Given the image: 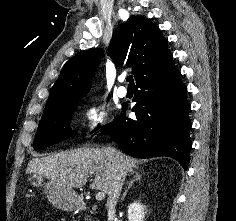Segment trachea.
<instances>
[{
  "mask_svg": "<svg viewBox=\"0 0 236 221\" xmlns=\"http://www.w3.org/2000/svg\"><path fill=\"white\" fill-rule=\"evenodd\" d=\"M127 82H129V86H134V80H133V76L132 75H129L127 78H126Z\"/></svg>",
  "mask_w": 236,
  "mask_h": 221,
  "instance_id": "3493384b",
  "label": "trachea"
}]
</instances>
